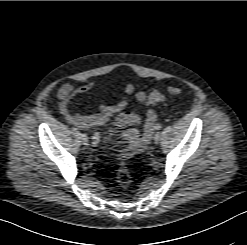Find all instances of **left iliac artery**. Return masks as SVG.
Listing matches in <instances>:
<instances>
[{
    "instance_id": "obj_1",
    "label": "left iliac artery",
    "mask_w": 247,
    "mask_h": 245,
    "mask_svg": "<svg viewBox=\"0 0 247 245\" xmlns=\"http://www.w3.org/2000/svg\"><path fill=\"white\" fill-rule=\"evenodd\" d=\"M154 127H155V129H156V130H160V129H161V125H160V124H158V123H157V124H155V126H154Z\"/></svg>"
}]
</instances>
